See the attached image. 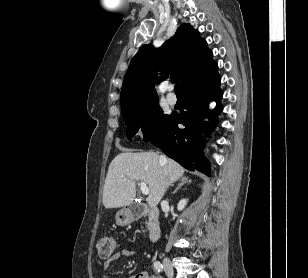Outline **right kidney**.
<instances>
[{"label":"right kidney","mask_w":308,"mask_h":278,"mask_svg":"<svg viewBox=\"0 0 308 278\" xmlns=\"http://www.w3.org/2000/svg\"><path fill=\"white\" fill-rule=\"evenodd\" d=\"M187 202H188L187 199L180 200L179 203H178V206H177L178 210L182 211L184 209V207L186 206Z\"/></svg>","instance_id":"ca27d5eb"}]
</instances>
